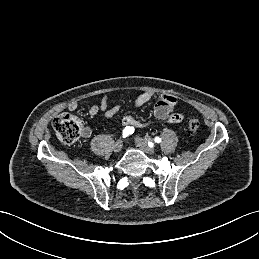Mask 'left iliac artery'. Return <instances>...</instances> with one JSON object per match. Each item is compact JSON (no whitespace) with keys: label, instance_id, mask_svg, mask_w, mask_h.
<instances>
[{"label":"left iliac artery","instance_id":"44dca946","mask_svg":"<svg viewBox=\"0 0 259 259\" xmlns=\"http://www.w3.org/2000/svg\"><path fill=\"white\" fill-rule=\"evenodd\" d=\"M154 141H155L156 143H160V142H161V138L155 137ZM148 145H149L150 147H153V143H152V142H148Z\"/></svg>","mask_w":259,"mask_h":259}]
</instances>
